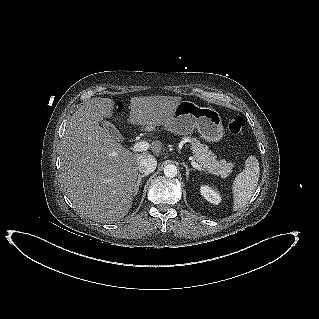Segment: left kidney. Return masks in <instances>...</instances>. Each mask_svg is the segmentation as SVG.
<instances>
[{
  "label": "left kidney",
  "mask_w": 319,
  "mask_h": 319,
  "mask_svg": "<svg viewBox=\"0 0 319 319\" xmlns=\"http://www.w3.org/2000/svg\"><path fill=\"white\" fill-rule=\"evenodd\" d=\"M200 193L210 203L219 204L221 201L220 195L207 185L201 186Z\"/></svg>",
  "instance_id": "5707ae66"
}]
</instances>
